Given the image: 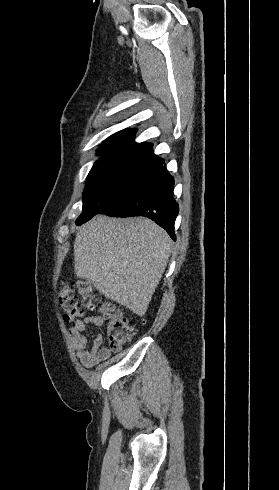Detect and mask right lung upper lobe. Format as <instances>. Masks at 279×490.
<instances>
[{
  "label": "right lung upper lobe",
  "instance_id": "cb5924a9",
  "mask_svg": "<svg viewBox=\"0 0 279 490\" xmlns=\"http://www.w3.org/2000/svg\"><path fill=\"white\" fill-rule=\"evenodd\" d=\"M135 131L122 130L110 136L100 147L101 158L95 164L125 161L141 164H161L164 160L153 153L152 144L136 143Z\"/></svg>",
  "mask_w": 279,
  "mask_h": 490
}]
</instances>
